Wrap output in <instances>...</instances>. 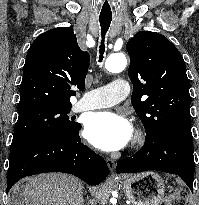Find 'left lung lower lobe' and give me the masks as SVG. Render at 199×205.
<instances>
[{"mask_svg": "<svg viewBox=\"0 0 199 205\" xmlns=\"http://www.w3.org/2000/svg\"><path fill=\"white\" fill-rule=\"evenodd\" d=\"M158 170L179 175L193 191L195 162L191 128H173L158 138L145 139L132 157L118 160L116 173Z\"/></svg>", "mask_w": 199, "mask_h": 205, "instance_id": "1", "label": "left lung lower lobe"}]
</instances>
